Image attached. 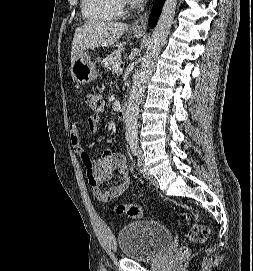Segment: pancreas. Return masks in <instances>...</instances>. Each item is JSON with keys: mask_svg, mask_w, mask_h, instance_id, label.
<instances>
[{"mask_svg": "<svg viewBox=\"0 0 253 271\" xmlns=\"http://www.w3.org/2000/svg\"><path fill=\"white\" fill-rule=\"evenodd\" d=\"M121 50H115L110 55H108L106 58L103 59L102 65L107 68L113 70V67L116 65H119L122 63L121 59Z\"/></svg>", "mask_w": 253, "mask_h": 271, "instance_id": "cf45deb5", "label": "pancreas"}]
</instances>
